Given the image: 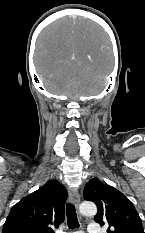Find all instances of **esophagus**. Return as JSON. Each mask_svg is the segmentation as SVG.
<instances>
[{
    "label": "esophagus",
    "mask_w": 145,
    "mask_h": 233,
    "mask_svg": "<svg viewBox=\"0 0 145 233\" xmlns=\"http://www.w3.org/2000/svg\"><path fill=\"white\" fill-rule=\"evenodd\" d=\"M68 193H69L70 201H71V202L75 205V207L78 209V208H79V205H80V196H79L77 190L74 189V188H69Z\"/></svg>",
    "instance_id": "1"
}]
</instances>
